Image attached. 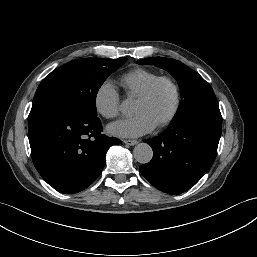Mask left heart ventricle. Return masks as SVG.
<instances>
[{
	"mask_svg": "<svg viewBox=\"0 0 257 257\" xmlns=\"http://www.w3.org/2000/svg\"><path fill=\"white\" fill-rule=\"evenodd\" d=\"M174 105V92L171 85L163 82L146 100L135 99L134 113H144L156 125L162 122L171 112Z\"/></svg>",
	"mask_w": 257,
	"mask_h": 257,
	"instance_id": "b2bd125f",
	"label": "left heart ventricle"
}]
</instances>
